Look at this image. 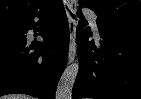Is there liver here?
Returning <instances> with one entry per match:
<instances>
[{"mask_svg":"<svg viewBox=\"0 0 141 99\" xmlns=\"http://www.w3.org/2000/svg\"><path fill=\"white\" fill-rule=\"evenodd\" d=\"M2 99H33V98L23 94H12L8 96H4L2 97Z\"/></svg>","mask_w":141,"mask_h":99,"instance_id":"obj_1","label":"liver"}]
</instances>
